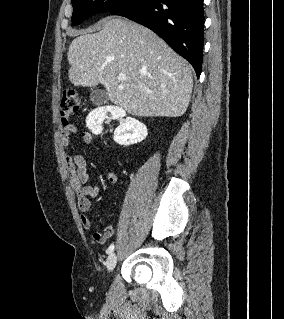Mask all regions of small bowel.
<instances>
[{"label": "small bowel", "mask_w": 284, "mask_h": 319, "mask_svg": "<svg viewBox=\"0 0 284 319\" xmlns=\"http://www.w3.org/2000/svg\"><path fill=\"white\" fill-rule=\"evenodd\" d=\"M79 128L75 125L69 124L63 126L61 131V142L63 145H68L70 136L78 133ZM82 140L87 145L95 144V137L90 132L81 133ZM66 169L70 179L72 190L76 194L77 206L81 212V224L84 229H90L92 226L91 219L88 212L91 208V199L96 198L99 194V188L96 185L90 184V175L88 173V166L86 159L75 153L66 155ZM107 179L110 183H116L118 180L117 174L113 171L107 174ZM115 233L113 226L108 225L103 232H94L92 237L96 243L103 244Z\"/></svg>", "instance_id": "1"}]
</instances>
